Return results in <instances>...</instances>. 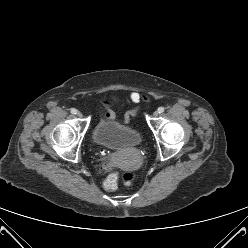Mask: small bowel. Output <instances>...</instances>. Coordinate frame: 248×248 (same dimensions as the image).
Returning <instances> with one entry per match:
<instances>
[{"label": "small bowel", "instance_id": "small-bowel-1", "mask_svg": "<svg viewBox=\"0 0 248 248\" xmlns=\"http://www.w3.org/2000/svg\"><path fill=\"white\" fill-rule=\"evenodd\" d=\"M130 99L133 103L135 104H139L141 102H144L147 100V96L145 94L142 93H138V92H132L130 94ZM103 105L107 108L106 113H105V118L106 119H114L115 117V113L114 111L111 109V102L109 100H105L103 101ZM135 115V112H129L125 115V119L124 121L127 123L130 118L132 116Z\"/></svg>", "mask_w": 248, "mask_h": 248}]
</instances>
